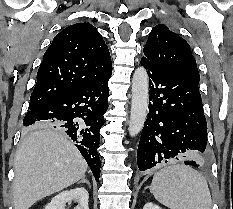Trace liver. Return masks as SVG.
<instances>
[{
    "label": "liver",
    "instance_id": "obj_1",
    "mask_svg": "<svg viewBox=\"0 0 233 209\" xmlns=\"http://www.w3.org/2000/svg\"><path fill=\"white\" fill-rule=\"evenodd\" d=\"M22 139L16 152L14 209H29L84 175L88 165L63 131L36 127Z\"/></svg>",
    "mask_w": 233,
    "mask_h": 209
}]
</instances>
